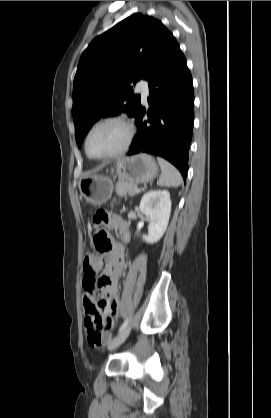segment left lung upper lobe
Wrapping results in <instances>:
<instances>
[{"label":"left lung upper lobe","mask_w":271,"mask_h":418,"mask_svg":"<svg viewBox=\"0 0 271 418\" xmlns=\"http://www.w3.org/2000/svg\"><path fill=\"white\" fill-rule=\"evenodd\" d=\"M173 38L159 20L137 13L90 43L73 84L72 114L79 148L100 117L122 112L135 116L141 97L130 84L150 79Z\"/></svg>","instance_id":"5c2ea615"}]
</instances>
